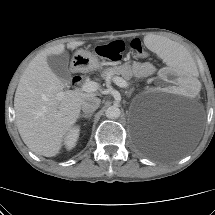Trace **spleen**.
Here are the masks:
<instances>
[{
	"instance_id": "3e777b00",
	"label": "spleen",
	"mask_w": 215,
	"mask_h": 215,
	"mask_svg": "<svg viewBox=\"0 0 215 215\" xmlns=\"http://www.w3.org/2000/svg\"><path fill=\"white\" fill-rule=\"evenodd\" d=\"M145 44L169 65L178 68L179 71L187 74H192L196 71V64L190 61L185 50L180 48L178 44L166 42L154 35L147 36Z\"/></svg>"
}]
</instances>
